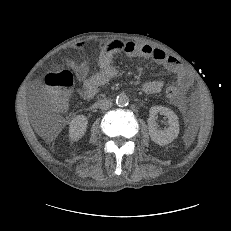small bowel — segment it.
I'll return each mask as SVG.
<instances>
[{
  "label": "small bowel",
  "mask_w": 231,
  "mask_h": 231,
  "mask_svg": "<svg viewBox=\"0 0 231 231\" xmlns=\"http://www.w3.org/2000/svg\"><path fill=\"white\" fill-rule=\"evenodd\" d=\"M124 53L132 58L152 59L162 65L166 70L176 75L179 90H186L192 83L191 73L183 67L175 57L167 54L161 49L149 45H140L133 41L114 39L102 42L98 54V71L88 76L89 59L83 60L77 65L71 64L78 81L82 85L81 96L89 100L93 98L100 87L106 85L116 76L115 56ZM163 82L160 80H149L143 84L142 90L146 94H155L162 90Z\"/></svg>",
  "instance_id": "obj_1"
}]
</instances>
